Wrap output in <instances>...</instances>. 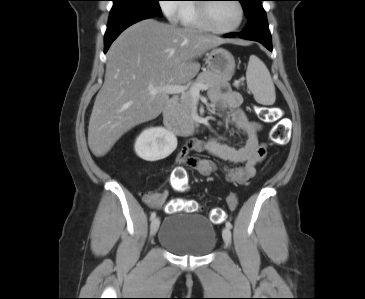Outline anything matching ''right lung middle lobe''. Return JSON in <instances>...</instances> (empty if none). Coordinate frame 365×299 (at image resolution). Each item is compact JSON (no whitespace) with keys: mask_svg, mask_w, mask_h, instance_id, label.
Listing matches in <instances>:
<instances>
[{"mask_svg":"<svg viewBox=\"0 0 365 299\" xmlns=\"http://www.w3.org/2000/svg\"><path fill=\"white\" fill-rule=\"evenodd\" d=\"M113 7L109 18L131 12H161L159 0H112Z\"/></svg>","mask_w":365,"mask_h":299,"instance_id":"1","label":"right lung middle lobe"}]
</instances>
